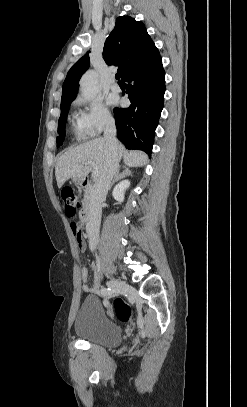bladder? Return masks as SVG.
Wrapping results in <instances>:
<instances>
[{"label": "bladder", "instance_id": "31cf9c89", "mask_svg": "<svg viewBox=\"0 0 247 407\" xmlns=\"http://www.w3.org/2000/svg\"><path fill=\"white\" fill-rule=\"evenodd\" d=\"M74 330L80 339L109 348L120 345L123 339L122 328L107 317L101 301L94 296L82 302Z\"/></svg>", "mask_w": 247, "mask_h": 407}]
</instances>
